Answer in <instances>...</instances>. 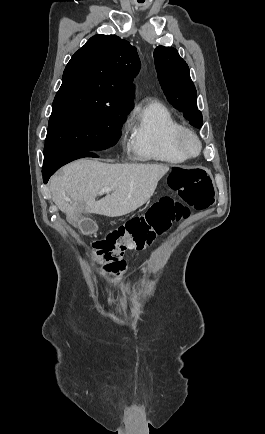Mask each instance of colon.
Returning a JSON list of instances; mask_svg holds the SVG:
<instances>
[{
    "label": "colon",
    "mask_w": 265,
    "mask_h": 434,
    "mask_svg": "<svg viewBox=\"0 0 265 434\" xmlns=\"http://www.w3.org/2000/svg\"><path fill=\"white\" fill-rule=\"evenodd\" d=\"M169 188L181 194L182 202L164 197L155 202L146 214L109 230L92 244L96 263L104 265L117 280L125 272L121 257L130 250H144L167 234L176 221L189 216L190 206L198 210L211 207L215 202L210 172L192 164L190 168H168Z\"/></svg>",
    "instance_id": "1"
}]
</instances>
